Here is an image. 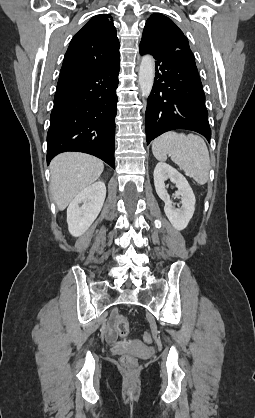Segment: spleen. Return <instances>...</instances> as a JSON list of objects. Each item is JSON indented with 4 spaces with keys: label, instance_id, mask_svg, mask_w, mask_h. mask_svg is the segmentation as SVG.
<instances>
[{
    "label": "spleen",
    "instance_id": "1",
    "mask_svg": "<svg viewBox=\"0 0 255 418\" xmlns=\"http://www.w3.org/2000/svg\"><path fill=\"white\" fill-rule=\"evenodd\" d=\"M152 152L159 161H166L169 155L171 160L198 184L207 183L210 157L206 143L200 136L167 132L154 139Z\"/></svg>",
    "mask_w": 255,
    "mask_h": 418
}]
</instances>
